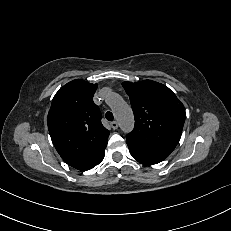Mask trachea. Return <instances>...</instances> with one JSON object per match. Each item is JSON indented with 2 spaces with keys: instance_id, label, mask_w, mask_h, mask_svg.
Segmentation results:
<instances>
[{
  "instance_id": "3493384b",
  "label": "trachea",
  "mask_w": 231,
  "mask_h": 231,
  "mask_svg": "<svg viewBox=\"0 0 231 231\" xmlns=\"http://www.w3.org/2000/svg\"><path fill=\"white\" fill-rule=\"evenodd\" d=\"M105 117L108 121H113L114 119L113 113L110 111L106 112Z\"/></svg>"
}]
</instances>
